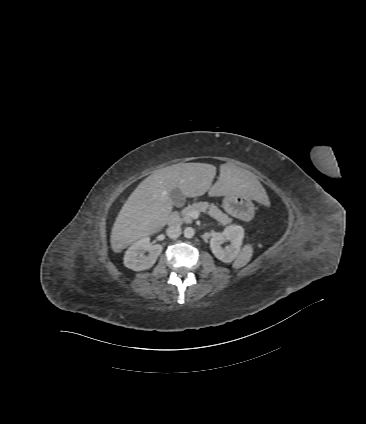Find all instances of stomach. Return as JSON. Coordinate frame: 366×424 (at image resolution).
<instances>
[{"instance_id":"1","label":"stomach","mask_w":366,"mask_h":424,"mask_svg":"<svg viewBox=\"0 0 366 424\" xmlns=\"http://www.w3.org/2000/svg\"><path fill=\"white\" fill-rule=\"evenodd\" d=\"M238 205H243L248 208L253 209V204L250 197L247 196H238V195H226L223 208L231 216L240 217V212L237 209Z\"/></svg>"}]
</instances>
